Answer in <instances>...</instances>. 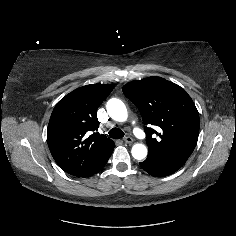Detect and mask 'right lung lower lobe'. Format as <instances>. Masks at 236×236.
<instances>
[{
	"label": "right lung lower lobe",
	"instance_id": "right-lung-lower-lobe-1",
	"mask_svg": "<svg viewBox=\"0 0 236 236\" xmlns=\"http://www.w3.org/2000/svg\"><path fill=\"white\" fill-rule=\"evenodd\" d=\"M112 152L113 150L110 153H108L105 157H103L84 177L91 176L95 174L96 172H98L106 164Z\"/></svg>",
	"mask_w": 236,
	"mask_h": 236
}]
</instances>
